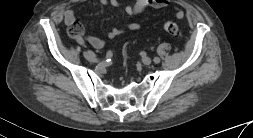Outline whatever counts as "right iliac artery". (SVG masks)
Wrapping results in <instances>:
<instances>
[{"label":"right iliac artery","instance_id":"1","mask_svg":"<svg viewBox=\"0 0 253 138\" xmlns=\"http://www.w3.org/2000/svg\"><path fill=\"white\" fill-rule=\"evenodd\" d=\"M76 42L81 45V47L87 52L89 53L92 57H95V54L91 52V49L87 46V44L85 43V40L81 37V36H78L76 38ZM112 56V53L111 52H107L105 58L106 59H109L110 57Z\"/></svg>","mask_w":253,"mask_h":138}]
</instances>
